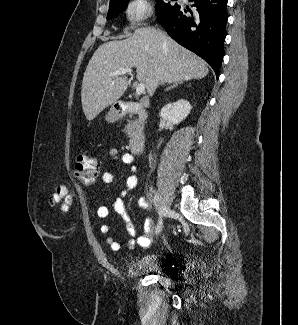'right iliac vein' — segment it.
Returning a JSON list of instances; mask_svg holds the SVG:
<instances>
[{"instance_id": "right-iliac-vein-1", "label": "right iliac vein", "mask_w": 298, "mask_h": 325, "mask_svg": "<svg viewBox=\"0 0 298 325\" xmlns=\"http://www.w3.org/2000/svg\"><path fill=\"white\" fill-rule=\"evenodd\" d=\"M154 203H155V206H156V209L158 211L160 218H162L165 215L166 207L162 201L161 196L156 191L154 193Z\"/></svg>"}]
</instances>
